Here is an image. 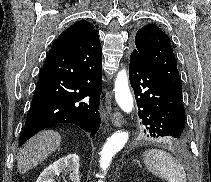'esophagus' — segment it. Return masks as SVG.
I'll return each mask as SVG.
<instances>
[{
  "mask_svg": "<svg viewBox=\"0 0 211 182\" xmlns=\"http://www.w3.org/2000/svg\"><path fill=\"white\" fill-rule=\"evenodd\" d=\"M118 115H119V114L116 113L115 116H114V118H113V122H114L115 124L118 123V118H117Z\"/></svg>",
  "mask_w": 211,
  "mask_h": 182,
  "instance_id": "34e87169",
  "label": "esophagus"
}]
</instances>
